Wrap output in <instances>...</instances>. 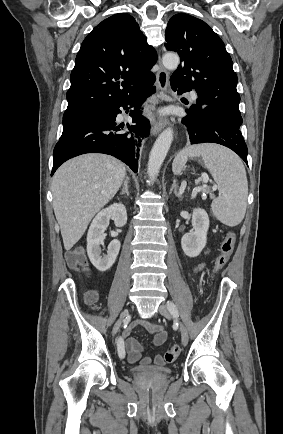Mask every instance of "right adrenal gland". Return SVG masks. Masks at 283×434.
Wrapping results in <instances>:
<instances>
[{"label": "right adrenal gland", "mask_w": 283, "mask_h": 434, "mask_svg": "<svg viewBox=\"0 0 283 434\" xmlns=\"http://www.w3.org/2000/svg\"><path fill=\"white\" fill-rule=\"evenodd\" d=\"M129 181H130V178L128 176H126L125 180L123 182V188H122V191L120 192V195L126 194L127 196H129V190H128Z\"/></svg>", "instance_id": "1"}]
</instances>
